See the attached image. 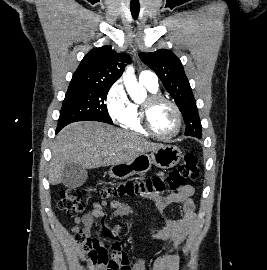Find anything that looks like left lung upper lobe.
I'll use <instances>...</instances> for the list:
<instances>
[{"instance_id": "left-lung-upper-lobe-1", "label": "left lung upper lobe", "mask_w": 267, "mask_h": 270, "mask_svg": "<svg viewBox=\"0 0 267 270\" xmlns=\"http://www.w3.org/2000/svg\"><path fill=\"white\" fill-rule=\"evenodd\" d=\"M140 59L160 78L164 87L175 100L186 124L185 135L200 136L202 126L189 81L179 58L169 50L139 53Z\"/></svg>"}]
</instances>
